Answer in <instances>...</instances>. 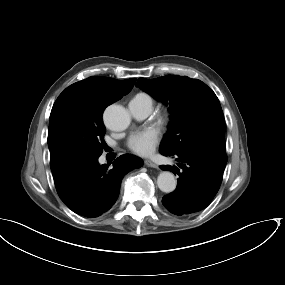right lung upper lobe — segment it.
<instances>
[{
  "label": "right lung upper lobe",
  "mask_w": 285,
  "mask_h": 285,
  "mask_svg": "<svg viewBox=\"0 0 285 285\" xmlns=\"http://www.w3.org/2000/svg\"><path fill=\"white\" fill-rule=\"evenodd\" d=\"M135 81L136 78L116 80L113 78L93 76L72 84L68 89L97 95L112 104L128 94L133 88Z\"/></svg>",
  "instance_id": "obj_1"
}]
</instances>
